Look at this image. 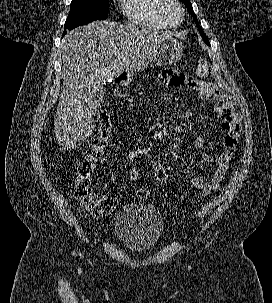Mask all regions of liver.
<instances>
[{
	"label": "liver",
	"instance_id": "liver-1",
	"mask_svg": "<svg viewBox=\"0 0 272 303\" xmlns=\"http://www.w3.org/2000/svg\"><path fill=\"white\" fill-rule=\"evenodd\" d=\"M170 32L94 21L68 32L62 40L63 86L54 123L58 142L75 148L95 128L104 98L103 83L124 71H143ZM126 62H123V60Z\"/></svg>",
	"mask_w": 272,
	"mask_h": 303
}]
</instances>
